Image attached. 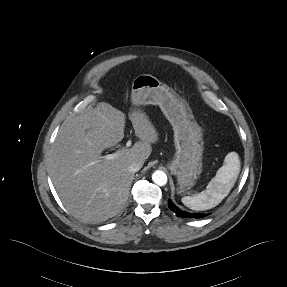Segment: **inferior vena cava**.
I'll return each mask as SVG.
<instances>
[{
  "label": "inferior vena cava",
  "mask_w": 287,
  "mask_h": 287,
  "mask_svg": "<svg viewBox=\"0 0 287 287\" xmlns=\"http://www.w3.org/2000/svg\"><path fill=\"white\" fill-rule=\"evenodd\" d=\"M128 170L132 173L139 171L142 168V163L140 162H132L128 165Z\"/></svg>",
  "instance_id": "obj_1"
}]
</instances>
